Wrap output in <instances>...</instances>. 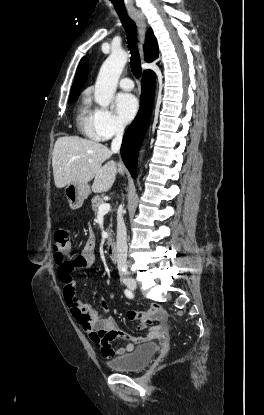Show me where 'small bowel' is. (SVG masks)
<instances>
[{
    "label": "small bowel",
    "instance_id": "1",
    "mask_svg": "<svg viewBox=\"0 0 264 415\" xmlns=\"http://www.w3.org/2000/svg\"><path fill=\"white\" fill-rule=\"evenodd\" d=\"M95 263V237L94 234L91 233L80 254L68 263L69 267L67 265H58V277L64 285V299L69 307L72 317L81 325L83 331L89 338L100 347L102 354L105 357H121L131 353L134 350L135 345H142L157 338L160 332V326L158 324L155 325L145 337H135L124 331H120L111 317L97 314L89 302L79 301L75 292L73 299L68 300L67 290L70 288L75 289L76 287V283L72 277L73 270L76 268H92L95 266ZM100 305L104 313H107L110 310V305L105 299L100 300ZM148 315L157 322H161L166 318L165 312L158 306H153L149 309ZM144 316H146L144 313L129 311L127 312L126 318L129 322H135ZM137 329L140 331L145 330L146 326L140 324L137 326ZM114 338L127 340L128 343L125 347L112 349L111 341Z\"/></svg>",
    "mask_w": 264,
    "mask_h": 415
}]
</instances>
